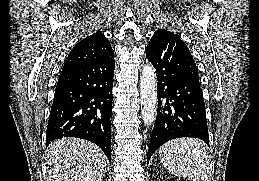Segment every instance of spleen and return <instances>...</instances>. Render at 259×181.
I'll return each instance as SVG.
<instances>
[{
	"instance_id": "1",
	"label": "spleen",
	"mask_w": 259,
	"mask_h": 181,
	"mask_svg": "<svg viewBox=\"0 0 259 181\" xmlns=\"http://www.w3.org/2000/svg\"><path fill=\"white\" fill-rule=\"evenodd\" d=\"M164 167L177 177L210 181V161L204 145L194 138L171 140L159 149Z\"/></svg>"
}]
</instances>
